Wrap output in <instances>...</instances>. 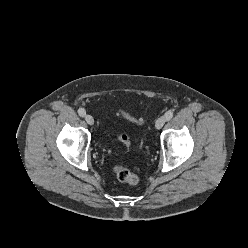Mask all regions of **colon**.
<instances>
[{"instance_id": "colon-1", "label": "colon", "mask_w": 248, "mask_h": 248, "mask_svg": "<svg viewBox=\"0 0 248 248\" xmlns=\"http://www.w3.org/2000/svg\"><path fill=\"white\" fill-rule=\"evenodd\" d=\"M118 114L121 115L122 117H124L125 119H127L128 121L134 123V124L142 125L145 123L144 119L136 118L124 109H119ZM118 138L127 148H129L131 141H130V137L128 135L121 134ZM113 172H114L116 178L120 182L127 183L129 185H137L140 181V178L136 173H134V172H132V171L120 166V165L115 166L113 168Z\"/></svg>"}]
</instances>
